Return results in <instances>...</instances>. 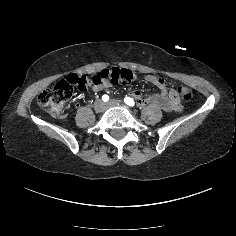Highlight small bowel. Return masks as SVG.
Segmentation results:
<instances>
[{
	"instance_id": "c3829d8e",
	"label": "small bowel",
	"mask_w": 236,
	"mask_h": 236,
	"mask_svg": "<svg viewBox=\"0 0 236 236\" xmlns=\"http://www.w3.org/2000/svg\"><path fill=\"white\" fill-rule=\"evenodd\" d=\"M148 80H149L150 82L156 84V85L159 86V87H163V86H164V80L161 79V78H159V77H157V76L150 75V76L148 77ZM109 86H110L109 83H103V84H101L100 86L95 87L94 89H95V90H100V89H103V88H106V87H109ZM133 95H134V96H138V95H139V92H138V91H134V92H133Z\"/></svg>"
}]
</instances>
